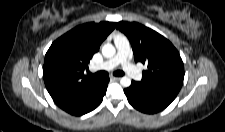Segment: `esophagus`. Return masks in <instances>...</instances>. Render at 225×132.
I'll return each instance as SVG.
<instances>
[{"mask_svg": "<svg viewBox=\"0 0 225 132\" xmlns=\"http://www.w3.org/2000/svg\"><path fill=\"white\" fill-rule=\"evenodd\" d=\"M111 80L118 81V80H120V77L112 76Z\"/></svg>", "mask_w": 225, "mask_h": 132, "instance_id": "34e87169", "label": "esophagus"}]
</instances>
